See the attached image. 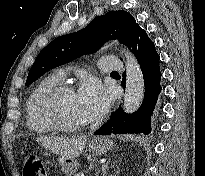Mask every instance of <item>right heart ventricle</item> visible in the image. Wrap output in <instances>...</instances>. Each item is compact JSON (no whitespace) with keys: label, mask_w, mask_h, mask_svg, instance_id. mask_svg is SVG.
Listing matches in <instances>:
<instances>
[{"label":"right heart ventricle","mask_w":205,"mask_h":176,"mask_svg":"<svg viewBox=\"0 0 205 176\" xmlns=\"http://www.w3.org/2000/svg\"><path fill=\"white\" fill-rule=\"evenodd\" d=\"M61 78L57 74L41 80L28 96L25 104L28 129L35 134L48 133L54 130L53 126L41 120L37 114V106L41 97L50 89L59 85Z\"/></svg>","instance_id":"right-heart-ventricle-1"}]
</instances>
